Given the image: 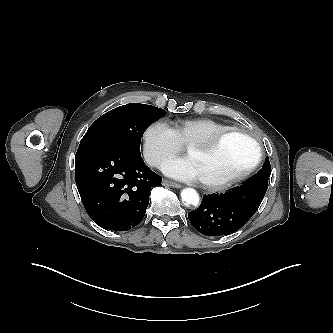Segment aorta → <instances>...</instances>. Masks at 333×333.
I'll list each match as a JSON object with an SVG mask.
<instances>
[{
    "mask_svg": "<svg viewBox=\"0 0 333 333\" xmlns=\"http://www.w3.org/2000/svg\"><path fill=\"white\" fill-rule=\"evenodd\" d=\"M181 198L187 204L197 206L199 204V194L193 188H185L181 191Z\"/></svg>",
    "mask_w": 333,
    "mask_h": 333,
    "instance_id": "aorta-1",
    "label": "aorta"
}]
</instances>
